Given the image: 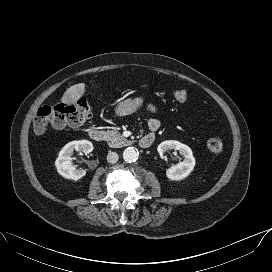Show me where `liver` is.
<instances>
[{"label": "liver", "instance_id": "obj_1", "mask_svg": "<svg viewBox=\"0 0 272 272\" xmlns=\"http://www.w3.org/2000/svg\"><path fill=\"white\" fill-rule=\"evenodd\" d=\"M85 84L78 83L69 87L61 98V103L65 105L76 104V102L84 95Z\"/></svg>", "mask_w": 272, "mask_h": 272}]
</instances>
